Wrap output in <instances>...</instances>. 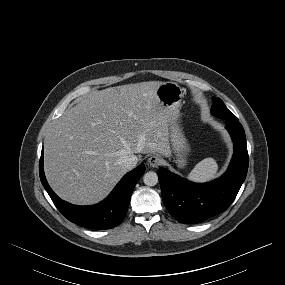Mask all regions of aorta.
<instances>
[{"label": "aorta", "mask_w": 285, "mask_h": 285, "mask_svg": "<svg viewBox=\"0 0 285 285\" xmlns=\"http://www.w3.org/2000/svg\"><path fill=\"white\" fill-rule=\"evenodd\" d=\"M143 181L147 186H155L158 183V175L155 172H147L143 176Z\"/></svg>", "instance_id": "1"}]
</instances>
